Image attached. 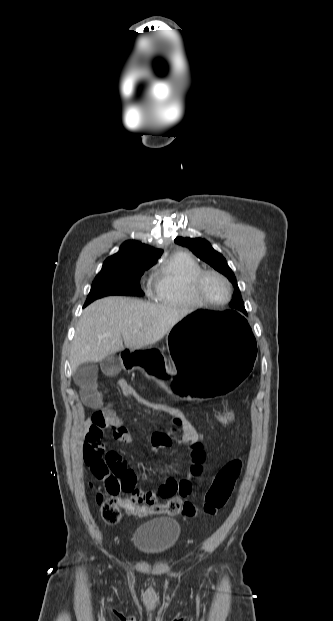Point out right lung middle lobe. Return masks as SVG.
Listing matches in <instances>:
<instances>
[{
  "mask_svg": "<svg viewBox=\"0 0 333 621\" xmlns=\"http://www.w3.org/2000/svg\"><path fill=\"white\" fill-rule=\"evenodd\" d=\"M151 266L140 263H104L93 281L84 307L98 298L109 295L143 296L140 277Z\"/></svg>",
  "mask_w": 333,
  "mask_h": 621,
  "instance_id": "1",
  "label": "right lung middle lobe"
}]
</instances>
